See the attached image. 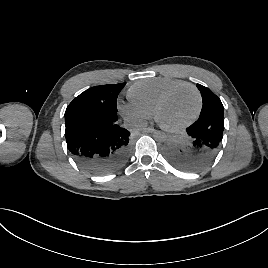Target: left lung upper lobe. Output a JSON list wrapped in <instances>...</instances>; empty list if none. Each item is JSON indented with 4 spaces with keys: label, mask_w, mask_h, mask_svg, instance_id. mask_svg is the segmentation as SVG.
<instances>
[{
    "label": "left lung upper lobe",
    "mask_w": 268,
    "mask_h": 268,
    "mask_svg": "<svg viewBox=\"0 0 268 268\" xmlns=\"http://www.w3.org/2000/svg\"><path fill=\"white\" fill-rule=\"evenodd\" d=\"M197 88L202 95L203 106L199 119L211 118L216 116L224 117V107L221 100L207 87L197 84Z\"/></svg>",
    "instance_id": "1"
}]
</instances>
